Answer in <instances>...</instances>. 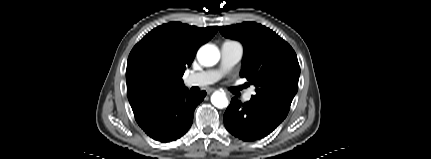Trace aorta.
Instances as JSON below:
<instances>
[{
	"instance_id": "1",
	"label": "aorta",
	"mask_w": 431,
	"mask_h": 159,
	"mask_svg": "<svg viewBox=\"0 0 431 159\" xmlns=\"http://www.w3.org/2000/svg\"><path fill=\"white\" fill-rule=\"evenodd\" d=\"M197 58L202 65L213 66L219 61L220 53L216 47L212 45H204L199 49ZM211 102L215 107L220 109L228 106V99L222 92H215L211 96Z\"/></svg>"
}]
</instances>
